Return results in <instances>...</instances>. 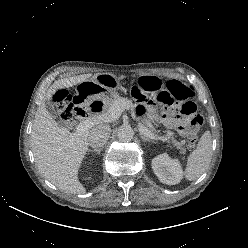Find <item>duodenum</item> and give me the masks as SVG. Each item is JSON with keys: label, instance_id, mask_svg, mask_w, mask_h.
I'll return each instance as SVG.
<instances>
[{"label": "duodenum", "instance_id": "obj_1", "mask_svg": "<svg viewBox=\"0 0 248 248\" xmlns=\"http://www.w3.org/2000/svg\"><path fill=\"white\" fill-rule=\"evenodd\" d=\"M89 114H90V111L84 109V112H83V114H82V117H87V116H89Z\"/></svg>", "mask_w": 248, "mask_h": 248}]
</instances>
